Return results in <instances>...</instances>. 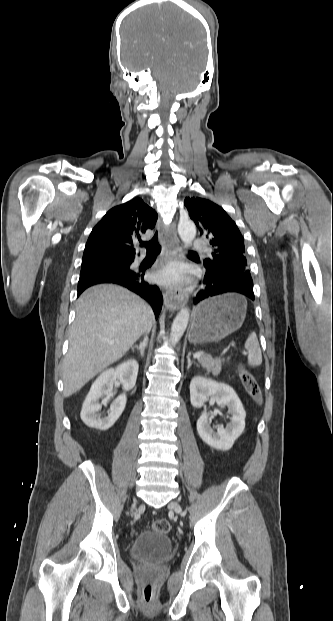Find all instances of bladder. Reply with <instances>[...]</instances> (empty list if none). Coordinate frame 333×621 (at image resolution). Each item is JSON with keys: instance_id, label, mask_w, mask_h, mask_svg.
<instances>
[{"instance_id": "bladder-1", "label": "bladder", "mask_w": 333, "mask_h": 621, "mask_svg": "<svg viewBox=\"0 0 333 621\" xmlns=\"http://www.w3.org/2000/svg\"><path fill=\"white\" fill-rule=\"evenodd\" d=\"M172 552L170 538L152 531L140 534L129 548L130 557L136 561L164 562L171 558Z\"/></svg>"}]
</instances>
